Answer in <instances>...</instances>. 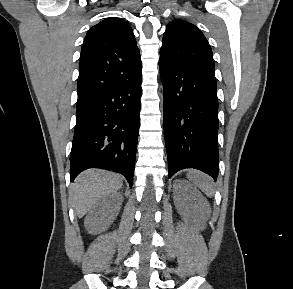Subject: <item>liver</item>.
Wrapping results in <instances>:
<instances>
[{"label": "liver", "instance_id": "1", "mask_svg": "<svg viewBox=\"0 0 293 289\" xmlns=\"http://www.w3.org/2000/svg\"><path fill=\"white\" fill-rule=\"evenodd\" d=\"M123 185L121 175L101 169L82 172L70 187L72 206L79 218L102 197L114 193Z\"/></svg>", "mask_w": 293, "mask_h": 289}]
</instances>
